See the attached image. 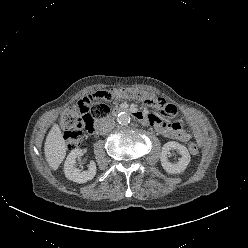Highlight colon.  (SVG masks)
Returning a JSON list of instances; mask_svg holds the SVG:
<instances>
[{"mask_svg":"<svg viewBox=\"0 0 248 248\" xmlns=\"http://www.w3.org/2000/svg\"><path fill=\"white\" fill-rule=\"evenodd\" d=\"M118 97L141 99L146 104L158 108L164 119H172L177 115V109L174 105L167 103L162 98L151 96L139 90L112 89L87 95L80 99L75 106L67 109L61 116L64 138L69 150L76 149L85 133L92 131L94 123L107 116L109 107L106 101ZM188 150L192 155H197L200 148L198 144L190 143Z\"/></svg>","mask_w":248,"mask_h":248,"instance_id":"5ec220e1","label":"colon"}]
</instances>
